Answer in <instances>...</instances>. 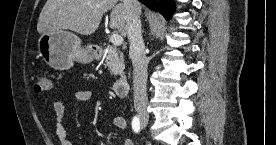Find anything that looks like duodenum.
<instances>
[{
    "label": "duodenum",
    "mask_w": 276,
    "mask_h": 145,
    "mask_svg": "<svg viewBox=\"0 0 276 145\" xmlns=\"http://www.w3.org/2000/svg\"><path fill=\"white\" fill-rule=\"evenodd\" d=\"M96 51L98 54L101 53L102 49L100 47H96ZM129 89V78L126 73H121L117 81L114 83L113 90L114 93L119 98H125Z\"/></svg>",
    "instance_id": "410a0bca"
}]
</instances>
